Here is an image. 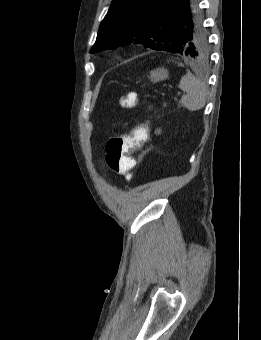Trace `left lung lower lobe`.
<instances>
[{
  "label": "left lung lower lobe",
  "instance_id": "obj_1",
  "mask_svg": "<svg viewBox=\"0 0 261 340\" xmlns=\"http://www.w3.org/2000/svg\"><path fill=\"white\" fill-rule=\"evenodd\" d=\"M197 6L198 0H165L160 9L167 18L178 20L184 14L192 15Z\"/></svg>",
  "mask_w": 261,
  "mask_h": 340
}]
</instances>
